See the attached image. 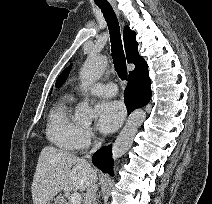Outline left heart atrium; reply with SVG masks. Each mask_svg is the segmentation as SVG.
I'll use <instances>...</instances> for the list:
<instances>
[{"mask_svg":"<svg viewBox=\"0 0 212 204\" xmlns=\"http://www.w3.org/2000/svg\"><path fill=\"white\" fill-rule=\"evenodd\" d=\"M125 109L121 102L104 100L97 105V128L102 133L115 131L122 123Z\"/></svg>","mask_w":212,"mask_h":204,"instance_id":"39dd6f15","label":"left heart atrium"}]
</instances>
